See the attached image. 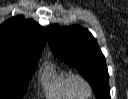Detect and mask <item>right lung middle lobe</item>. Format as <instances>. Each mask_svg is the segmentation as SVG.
Returning <instances> with one entry per match:
<instances>
[{"mask_svg": "<svg viewBox=\"0 0 128 99\" xmlns=\"http://www.w3.org/2000/svg\"><path fill=\"white\" fill-rule=\"evenodd\" d=\"M40 56H0V98L21 99Z\"/></svg>", "mask_w": 128, "mask_h": 99, "instance_id": "right-lung-middle-lobe-1", "label": "right lung middle lobe"}]
</instances>
